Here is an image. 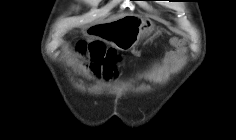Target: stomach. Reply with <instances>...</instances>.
<instances>
[{
  "label": "stomach",
  "instance_id": "stomach-1",
  "mask_svg": "<svg viewBox=\"0 0 236 140\" xmlns=\"http://www.w3.org/2000/svg\"><path fill=\"white\" fill-rule=\"evenodd\" d=\"M89 31L92 41H105V44H115L121 49L133 48L141 39L154 31V24L140 17L126 16L116 22H100L91 25Z\"/></svg>",
  "mask_w": 236,
  "mask_h": 140
}]
</instances>
